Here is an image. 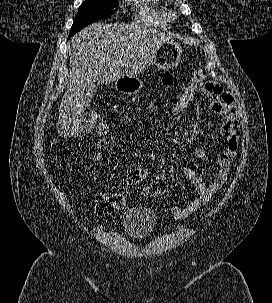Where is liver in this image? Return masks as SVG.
<instances>
[{"mask_svg": "<svg viewBox=\"0 0 272 303\" xmlns=\"http://www.w3.org/2000/svg\"><path fill=\"white\" fill-rule=\"evenodd\" d=\"M171 38L154 29L120 23H93L74 35L69 42L70 77L59 108L58 134H78L97 86L142 73Z\"/></svg>", "mask_w": 272, "mask_h": 303, "instance_id": "6515ba94", "label": "liver"}]
</instances>
